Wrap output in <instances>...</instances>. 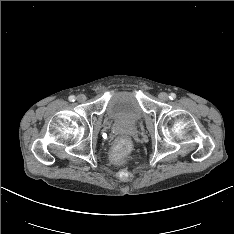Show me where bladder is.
Instances as JSON below:
<instances>
[{"label":"bladder","mask_w":234,"mask_h":234,"mask_svg":"<svg viewBox=\"0 0 234 234\" xmlns=\"http://www.w3.org/2000/svg\"><path fill=\"white\" fill-rule=\"evenodd\" d=\"M105 116L116 124L133 126L143 119L144 113L137 96L132 92L122 91L109 97Z\"/></svg>","instance_id":"1"}]
</instances>
